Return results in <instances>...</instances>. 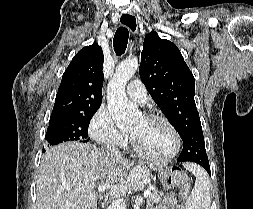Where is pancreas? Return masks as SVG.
Wrapping results in <instances>:
<instances>
[{"label": "pancreas", "instance_id": "obj_1", "mask_svg": "<svg viewBox=\"0 0 253 209\" xmlns=\"http://www.w3.org/2000/svg\"><path fill=\"white\" fill-rule=\"evenodd\" d=\"M162 195H163L162 192H160L156 189H152L151 194L147 198V206L153 207L154 204L159 203L161 201V196Z\"/></svg>", "mask_w": 253, "mask_h": 209}]
</instances>
